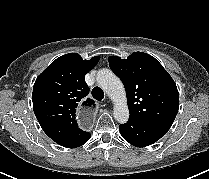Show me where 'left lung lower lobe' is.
Returning a JSON list of instances; mask_svg holds the SVG:
<instances>
[{"label":"left lung lower lobe","mask_w":209,"mask_h":179,"mask_svg":"<svg viewBox=\"0 0 209 179\" xmlns=\"http://www.w3.org/2000/svg\"><path fill=\"white\" fill-rule=\"evenodd\" d=\"M121 136L136 147H145L155 143L168 130L153 126L134 118H129L126 124L119 125Z\"/></svg>","instance_id":"1"}]
</instances>
